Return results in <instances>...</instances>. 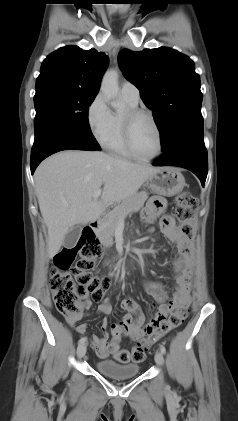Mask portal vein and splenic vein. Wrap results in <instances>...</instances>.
<instances>
[{
	"label": "portal vein and splenic vein",
	"instance_id": "1",
	"mask_svg": "<svg viewBox=\"0 0 238 421\" xmlns=\"http://www.w3.org/2000/svg\"><path fill=\"white\" fill-rule=\"evenodd\" d=\"M101 193H102L101 189L96 190L93 194V199L97 200L100 197Z\"/></svg>",
	"mask_w": 238,
	"mask_h": 421
}]
</instances>
